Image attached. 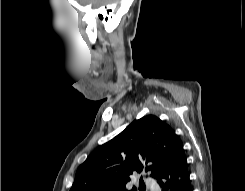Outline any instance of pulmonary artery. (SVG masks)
<instances>
[{
	"mask_svg": "<svg viewBox=\"0 0 245 191\" xmlns=\"http://www.w3.org/2000/svg\"><path fill=\"white\" fill-rule=\"evenodd\" d=\"M145 183L147 187L150 188L152 191H160V186L154 179L147 178L145 180Z\"/></svg>",
	"mask_w": 245,
	"mask_h": 191,
	"instance_id": "e3ab8cb5",
	"label": "pulmonary artery"
}]
</instances>
